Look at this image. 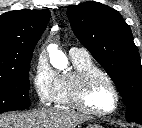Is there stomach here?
I'll list each match as a JSON object with an SVG mask.
<instances>
[{
	"mask_svg": "<svg viewBox=\"0 0 142 128\" xmlns=\"http://www.w3.org/2000/svg\"><path fill=\"white\" fill-rule=\"evenodd\" d=\"M87 128H102V126L98 124H92V125L87 126Z\"/></svg>",
	"mask_w": 142,
	"mask_h": 128,
	"instance_id": "obj_1",
	"label": "stomach"
}]
</instances>
